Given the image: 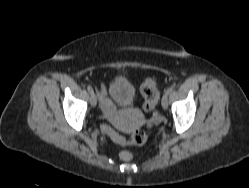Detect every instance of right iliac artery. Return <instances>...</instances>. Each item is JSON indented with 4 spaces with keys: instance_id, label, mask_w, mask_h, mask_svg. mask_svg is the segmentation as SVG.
Wrapping results in <instances>:
<instances>
[{
    "instance_id": "obj_1",
    "label": "right iliac artery",
    "mask_w": 249,
    "mask_h": 188,
    "mask_svg": "<svg viewBox=\"0 0 249 188\" xmlns=\"http://www.w3.org/2000/svg\"><path fill=\"white\" fill-rule=\"evenodd\" d=\"M87 90L89 91L90 94L93 92V89L90 85L87 86Z\"/></svg>"
}]
</instances>
